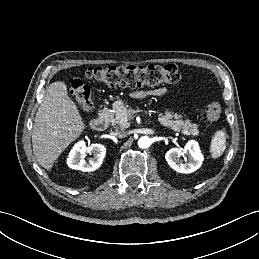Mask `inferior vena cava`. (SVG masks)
Wrapping results in <instances>:
<instances>
[{
	"label": "inferior vena cava",
	"mask_w": 259,
	"mask_h": 259,
	"mask_svg": "<svg viewBox=\"0 0 259 259\" xmlns=\"http://www.w3.org/2000/svg\"><path fill=\"white\" fill-rule=\"evenodd\" d=\"M112 134L118 138H123L127 136V132L125 130H116Z\"/></svg>",
	"instance_id": "obj_1"
}]
</instances>
